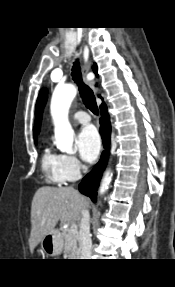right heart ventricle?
<instances>
[{"label":"right heart ventricle","instance_id":"1","mask_svg":"<svg viewBox=\"0 0 175 287\" xmlns=\"http://www.w3.org/2000/svg\"><path fill=\"white\" fill-rule=\"evenodd\" d=\"M41 167L47 182L53 184H62L65 182L61 171L60 154L46 148L42 154Z\"/></svg>","mask_w":175,"mask_h":287}]
</instances>
